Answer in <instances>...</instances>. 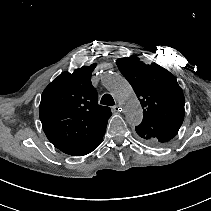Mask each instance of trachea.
Returning a JSON list of instances; mask_svg holds the SVG:
<instances>
[{
  "label": "trachea",
  "instance_id": "obj_1",
  "mask_svg": "<svg viewBox=\"0 0 211 211\" xmlns=\"http://www.w3.org/2000/svg\"><path fill=\"white\" fill-rule=\"evenodd\" d=\"M101 104L106 106H113L115 105V101L110 94H104L100 101Z\"/></svg>",
  "mask_w": 211,
  "mask_h": 211
}]
</instances>
